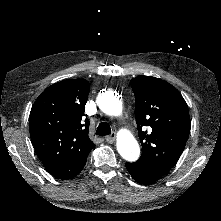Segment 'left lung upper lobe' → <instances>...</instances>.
Returning <instances> with one entry per match:
<instances>
[{
	"instance_id": "obj_1",
	"label": "left lung upper lobe",
	"mask_w": 221,
	"mask_h": 221,
	"mask_svg": "<svg viewBox=\"0 0 221 221\" xmlns=\"http://www.w3.org/2000/svg\"><path fill=\"white\" fill-rule=\"evenodd\" d=\"M131 87L142 144L138 162L163 176L176 164L188 139L191 122L187 103L174 86L155 77L137 76ZM144 127L152 128L149 134Z\"/></svg>"
}]
</instances>
